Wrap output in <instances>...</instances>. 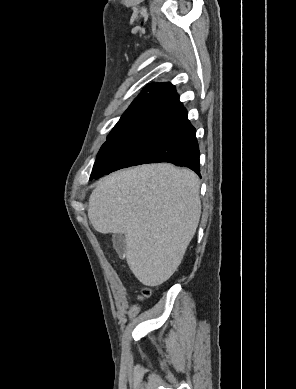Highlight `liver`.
I'll return each mask as SVG.
<instances>
[{
    "instance_id": "obj_1",
    "label": "liver",
    "mask_w": 296,
    "mask_h": 389,
    "mask_svg": "<svg viewBox=\"0 0 296 389\" xmlns=\"http://www.w3.org/2000/svg\"><path fill=\"white\" fill-rule=\"evenodd\" d=\"M200 183L169 163L137 166L101 179L88 217L102 234H124L126 261L146 286L168 280L180 265L201 214Z\"/></svg>"
}]
</instances>
